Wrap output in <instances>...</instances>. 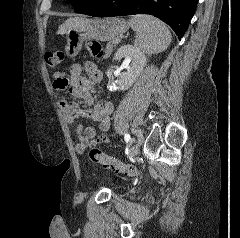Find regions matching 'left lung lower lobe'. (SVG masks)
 <instances>
[{
	"label": "left lung lower lobe",
	"instance_id": "left-lung-lower-lobe-1",
	"mask_svg": "<svg viewBox=\"0 0 240 238\" xmlns=\"http://www.w3.org/2000/svg\"><path fill=\"white\" fill-rule=\"evenodd\" d=\"M198 0H96L79 12L93 17L150 14L166 22L179 40L186 32Z\"/></svg>",
	"mask_w": 240,
	"mask_h": 238
}]
</instances>
